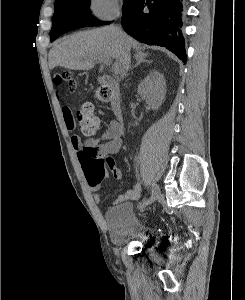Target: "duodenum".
I'll return each mask as SVG.
<instances>
[{"label":"duodenum","instance_id":"1","mask_svg":"<svg viewBox=\"0 0 245 300\" xmlns=\"http://www.w3.org/2000/svg\"><path fill=\"white\" fill-rule=\"evenodd\" d=\"M100 83L108 87L112 92V99H111V109L118 121H122L123 117V110H122V101H121V94L118 83L109 75H102L100 77Z\"/></svg>","mask_w":245,"mask_h":300}]
</instances>
